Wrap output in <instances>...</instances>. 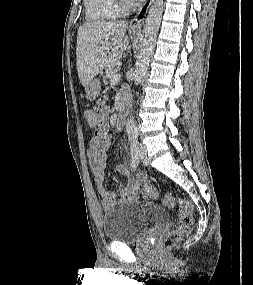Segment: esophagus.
I'll return each mask as SVG.
<instances>
[{
	"label": "esophagus",
	"mask_w": 253,
	"mask_h": 285,
	"mask_svg": "<svg viewBox=\"0 0 253 285\" xmlns=\"http://www.w3.org/2000/svg\"><path fill=\"white\" fill-rule=\"evenodd\" d=\"M152 3L153 0H147L145 4L139 9L135 17L129 22V28L131 30L141 31L142 24Z\"/></svg>",
	"instance_id": "34e87169"
}]
</instances>
